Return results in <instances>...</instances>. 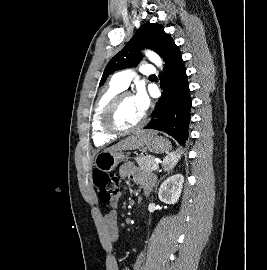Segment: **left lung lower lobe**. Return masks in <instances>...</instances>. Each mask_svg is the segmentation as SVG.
Listing matches in <instances>:
<instances>
[{"label":"left lung lower lobe","instance_id":"obj_1","mask_svg":"<svg viewBox=\"0 0 267 270\" xmlns=\"http://www.w3.org/2000/svg\"><path fill=\"white\" fill-rule=\"evenodd\" d=\"M164 61V74L160 75L164 94L144 129L164 131L180 146H185L189 136L192 103L186 69L178 46L173 45Z\"/></svg>","mask_w":267,"mask_h":270}]
</instances>
